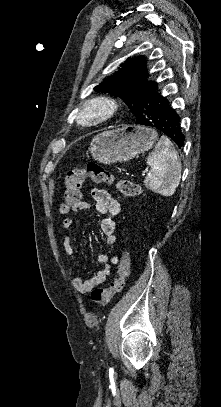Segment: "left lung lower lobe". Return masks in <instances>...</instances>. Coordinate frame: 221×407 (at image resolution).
I'll list each match as a JSON object with an SVG mask.
<instances>
[{
    "mask_svg": "<svg viewBox=\"0 0 221 407\" xmlns=\"http://www.w3.org/2000/svg\"><path fill=\"white\" fill-rule=\"evenodd\" d=\"M135 117L136 124L157 128L179 147L182 146L184 136L180 128V117L162 95L156 82L141 94Z\"/></svg>",
    "mask_w": 221,
    "mask_h": 407,
    "instance_id": "left-lung-lower-lobe-1",
    "label": "left lung lower lobe"
}]
</instances>
